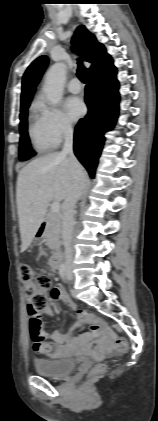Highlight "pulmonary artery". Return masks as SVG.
I'll list each match as a JSON object with an SVG mask.
<instances>
[{
  "label": "pulmonary artery",
  "instance_id": "pulmonary-artery-1",
  "mask_svg": "<svg viewBox=\"0 0 158 421\" xmlns=\"http://www.w3.org/2000/svg\"><path fill=\"white\" fill-rule=\"evenodd\" d=\"M67 88L72 93H79L82 90V84L78 78H73L69 81Z\"/></svg>",
  "mask_w": 158,
  "mask_h": 421
}]
</instances>
